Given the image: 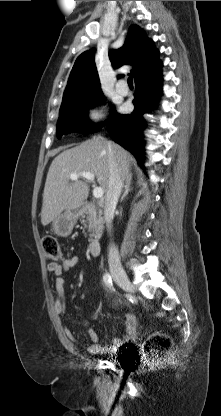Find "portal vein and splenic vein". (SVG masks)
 <instances>
[{"label":"portal vein and splenic vein","instance_id":"1","mask_svg":"<svg viewBox=\"0 0 221 416\" xmlns=\"http://www.w3.org/2000/svg\"><path fill=\"white\" fill-rule=\"evenodd\" d=\"M69 177H70L71 180H77L79 177H83L86 180L91 181V182H94V179H95L94 174L91 173V172L71 173L69 175ZM103 194H104V192H103V189L101 187H95L93 189V196L96 199L102 198Z\"/></svg>","mask_w":221,"mask_h":416}]
</instances>
